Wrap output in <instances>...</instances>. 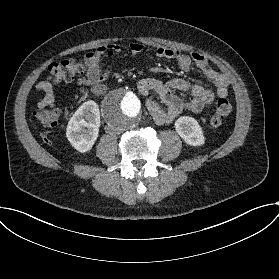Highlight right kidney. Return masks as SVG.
Here are the masks:
<instances>
[{"label": "right kidney", "mask_w": 279, "mask_h": 279, "mask_svg": "<svg viewBox=\"0 0 279 279\" xmlns=\"http://www.w3.org/2000/svg\"><path fill=\"white\" fill-rule=\"evenodd\" d=\"M101 116L95 101L84 102L70 118L66 137L72 147L84 154L92 150L99 136Z\"/></svg>", "instance_id": "1"}]
</instances>
